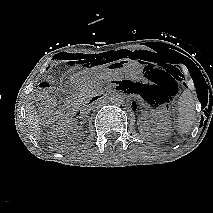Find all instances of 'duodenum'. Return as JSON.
<instances>
[{
	"label": "duodenum",
	"instance_id": "1",
	"mask_svg": "<svg viewBox=\"0 0 213 213\" xmlns=\"http://www.w3.org/2000/svg\"><path fill=\"white\" fill-rule=\"evenodd\" d=\"M104 98H105V94H103V93L97 94V95L92 97V99L89 102V105L96 103V102H99V101H102ZM84 112H85V109L77 108L73 112H71L70 115L77 118V117L83 115Z\"/></svg>",
	"mask_w": 213,
	"mask_h": 213
}]
</instances>
